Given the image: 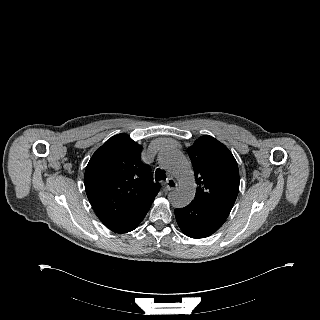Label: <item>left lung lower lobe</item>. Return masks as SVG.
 <instances>
[{"label":"left lung lower lobe","mask_w":320,"mask_h":320,"mask_svg":"<svg viewBox=\"0 0 320 320\" xmlns=\"http://www.w3.org/2000/svg\"><path fill=\"white\" fill-rule=\"evenodd\" d=\"M229 212L200 201H192L184 208L175 209V217L182 232L191 238H205L216 232Z\"/></svg>","instance_id":"1"}]
</instances>
